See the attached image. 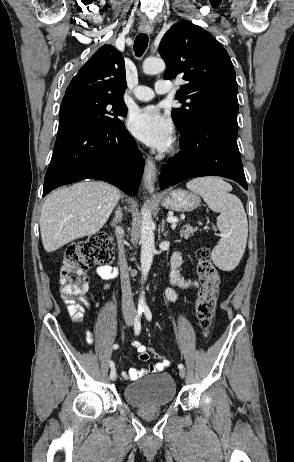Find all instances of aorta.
I'll use <instances>...</instances> for the list:
<instances>
[{"label":"aorta","instance_id":"1","mask_svg":"<svg viewBox=\"0 0 294 462\" xmlns=\"http://www.w3.org/2000/svg\"><path fill=\"white\" fill-rule=\"evenodd\" d=\"M143 72L148 75H153L161 73L165 70V62L160 58H147L143 62ZM154 222L152 220V215L150 210L147 207H144L142 210V222H141V274L142 280L146 279L148 272L151 268L153 256L155 253V242H154ZM138 304L140 307H145V296L144 292L141 293L139 297Z\"/></svg>","mask_w":294,"mask_h":462}]
</instances>
